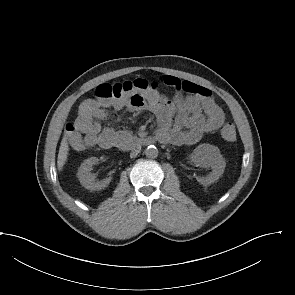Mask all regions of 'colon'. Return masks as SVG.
I'll use <instances>...</instances> for the list:
<instances>
[{
    "mask_svg": "<svg viewBox=\"0 0 295 295\" xmlns=\"http://www.w3.org/2000/svg\"><path fill=\"white\" fill-rule=\"evenodd\" d=\"M153 89H156V85L145 79H136L134 81L115 84H101L94 91L95 98H88L81 102L78 117L88 116L94 107L99 104L109 103L132 93L147 92ZM221 136L227 142H234L236 140V129L234 125L231 123L224 124L221 128Z\"/></svg>",
    "mask_w": 295,
    "mask_h": 295,
    "instance_id": "obj_1",
    "label": "colon"
}]
</instances>
